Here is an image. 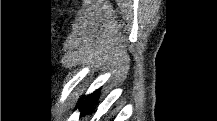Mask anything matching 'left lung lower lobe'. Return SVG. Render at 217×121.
I'll list each match as a JSON object with an SVG mask.
<instances>
[{
	"label": "left lung lower lobe",
	"mask_w": 217,
	"mask_h": 121,
	"mask_svg": "<svg viewBox=\"0 0 217 121\" xmlns=\"http://www.w3.org/2000/svg\"><path fill=\"white\" fill-rule=\"evenodd\" d=\"M99 94H100V92H99V90H97L96 92H94L93 94H91L88 97L87 102H86V106L84 107L81 114H86V113L93 110V106L96 104L97 99L99 98Z\"/></svg>",
	"instance_id": "1"
}]
</instances>
